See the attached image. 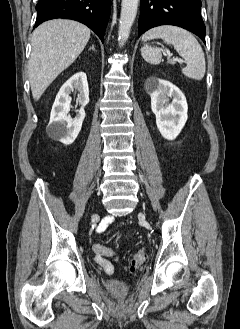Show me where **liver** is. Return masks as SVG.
Segmentation results:
<instances>
[{"mask_svg":"<svg viewBox=\"0 0 240 329\" xmlns=\"http://www.w3.org/2000/svg\"><path fill=\"white\" fill-rule=\"evenodd\" d=\"M89 38L90 29L72 20L55 19L35 29L31 39L28 74L36 101L57 76L77 59Z\"/></svg>","mask_w":240,"mask_h":329,"instance_id":"6515ba94","label":"liver"}]
</instances>
